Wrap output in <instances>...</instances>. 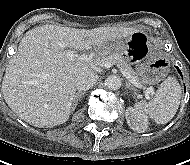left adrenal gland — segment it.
<instances>
[{
    "label": "left adrenal gland",
    "instance_id": "a2214340",
    "mask_svg": "<svg viewBox=\"0 0 190 165\" xmlns=\"http://www.w3.org/2000/svg\"><path fill=\"white\" fill-rule=\"evenodd\" d=\"M126 86H127V88H129V90H132V86L130 83H126Z\"/></svg>",
    "mask_w": 190,
    "mask_h": 165
}]
</instances>
